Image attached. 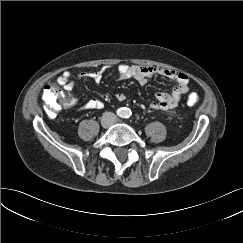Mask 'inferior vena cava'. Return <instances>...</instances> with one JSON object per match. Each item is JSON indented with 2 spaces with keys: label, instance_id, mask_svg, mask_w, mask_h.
<instances>
[{
  "label": "inferior vena cava",
  "instance_id": "inferior-vena-cava-1",
  "mask_svg": "<svg viewBox=\"0 0 243 243\" xmlns=\"http://www.w3.org/2000/svg\"><path fill=\"white\" fill-rule=\"evenodd\" d=\"M103 120H106L107 126H110L116 122L117 116L112 112H106L103 115Z\"/></svg>",
  "mask_w": 243,
  "mask_h": 243
}]
</instances>
